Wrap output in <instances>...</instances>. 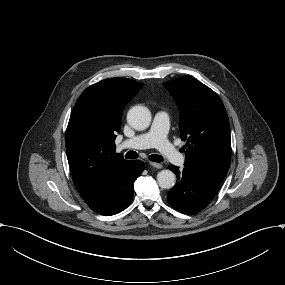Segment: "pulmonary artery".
<instances>
[{
	"instance_id": "e3ab8cb5",
	"label": "pulmonary artery",
	"mask_w": 285,
	"mask_h": 285,
	"mask_svg": "<svg viewBox=\"0 0 285 285\" xmlns=\"http://www.w3.org/2000/svg\"><path fill=\"white\" fill-rule=\"evenodd\" d=\"M171 114L168 111L162 110L156 113L154 121L147 131H142L134 137L123 138L119 145L123 149L131 148H155L157 147L162 153L168 156L172 162L180 167L185 165L186 156L178 152L167 140L162 133L167 132L171 126Z\"/></svg>"
}]
</instances>
